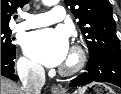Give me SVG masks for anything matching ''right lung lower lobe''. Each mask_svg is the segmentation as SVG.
I'll return each mask as SVG.
<instances>
[{"mask_svg":"<svg viewBox=\"0 0 121 94\" xmlns=\"http://www.w3.org/2000/svg\"><path fill=\"white\" fill-rule=\"evenodd\" d=\"M14 51H1V75L10 79H17L18 77L14 74V62L15 59Z\"/></svg>","mask_w":121,"mask_h":94,"instance_id":"98d812e1","label":"right lung lower lobe"}]
</instances>
